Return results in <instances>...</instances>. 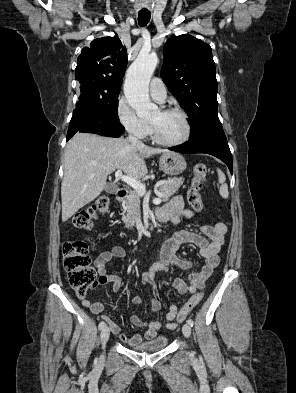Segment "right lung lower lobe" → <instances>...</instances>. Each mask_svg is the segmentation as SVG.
I'll return each mask as SVG.
<instances>
[{
	"instance_id": "1",
	"label": "right lung lower lobe",
	"mask_w": 296,
	"mask_h": 393,
	"mask_svg": "<svg viewBox=\"0 0 296 393\" xmlns=\"http://www.w3.org/2000/svg\"><path fill=\"white\" fill-rule=\"evenodd\" d=\"M125 129L119 120L110 118L93 108L82 104H76L71 118L67 141L76 133H95L108 137H119Z\"/></svg>"
}]
</instances>
